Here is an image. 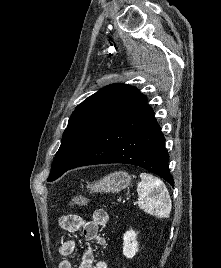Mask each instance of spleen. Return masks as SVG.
<instances>
[{
  "label": "spleen",
  "instance_id": "obj_1",
  "mask_svg": "<svg viewBox=\"0 0 221 268\" xmlns=\"http://www.w3.org/2000/svg\"><path fill=\"white\" fill-rule=\"evenodd\" d=\"M140 178L141 182L137 185L139 207L150 215L168 218L172 204L163 181L145 172L140 174Z\"/></svg>",
  "mask_w": 221,
  "mask_h": 268
}]
</instances>
